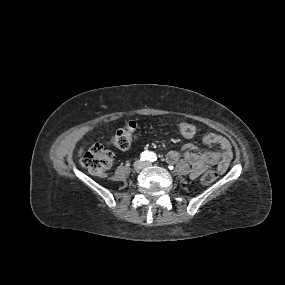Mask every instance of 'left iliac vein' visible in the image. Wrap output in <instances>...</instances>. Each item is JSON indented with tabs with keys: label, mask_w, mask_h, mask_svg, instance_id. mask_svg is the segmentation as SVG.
Instances as JSON below:
<instances>
[{
	"label": "left iliac vein",
	"mask_w": 285,
	"mask_h": 285,
	"mask_svg": "<svg viewBox=\"0 0 285 285\" xmlns=\"http://www.w3.org/2000/svg\"><path fill=\"white\" fill-rule=\"evenodd\" d=\"M144 165L147 167V166H150L151 163L150 162H146Z\"/></svg>",
	"instance_id": "4c4485c4"
}]
</instances>
